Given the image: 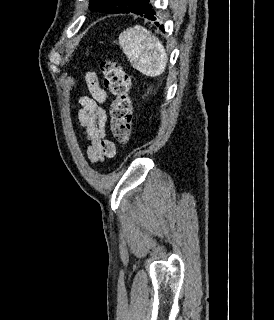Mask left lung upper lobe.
<instances>
[{
  "instance_id": "1",
  "label": "left lung upper lobe",
  "mask_w": 274,
  "mask_h": 320,
  "mask_svg": "<svg viewBox=\"0 0 274 320\" xmlns=\"http://www.w3.org/2000/svg\"><path fill=\"white\" fill-rule=\"evenodd\" d=\"M135 2L136 0H90V9L106 13H119Z\"/></svg>"
}]
</instances>
